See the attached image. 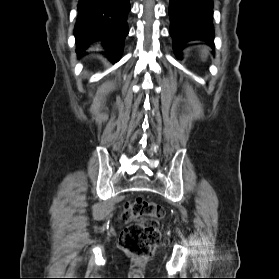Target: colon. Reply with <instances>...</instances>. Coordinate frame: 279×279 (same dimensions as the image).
<instances>
[{"mask_svg": "<svg viewBox=\"0 0 279 279\" xmlns=\"http://www.w3.org/2000/svg\"><path fill=\"white\" fill-rule=\"evenodd\" d=\"M164 215L158 203L140 198L128 201L122 215L127 226L120 236V247L136 258L151 256L161 237L159 222Z\"/></svg>", "mask_w": 279, "mask_h": 279, "instance_id": "colon-1", "label": "colon"}]
</instances>
